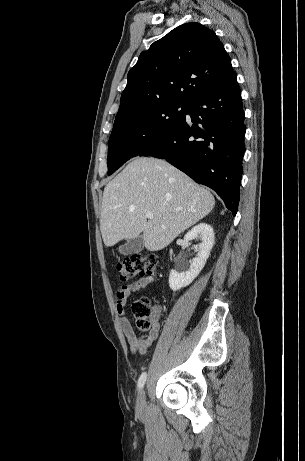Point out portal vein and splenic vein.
<instances>
[{"label": "portal vein and splenic vein", "mask_w": 305, "mask_h": 461, "mask_svg": "<svg viewBox=\"0 0 305 461\" xmlns=\"http://www.w3.org/2000/svg\"><path fill=\"white\" fill-rule=\"evenodd\" d=\"M145 216L148 218V219H152L153 218V213L152 212H147L145 214Z\"/></svg>", "instance_id": "18ae733b"}]
</instances>
